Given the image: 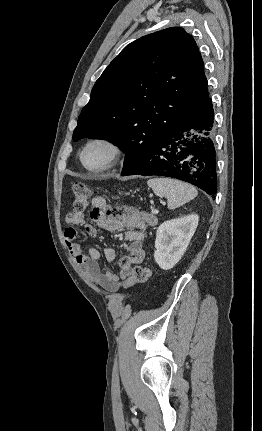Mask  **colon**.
Returning <instances> with one entry per match:
<instances>
[{
    "label": "colon",
    "instance_id": "1",
    "mask_svg": "<svg viewBox=\"0 0 262 431\" xmlns=\"http://www.w3.org/2000/svg\"><path fill=\"white\" fill-rule=\"evenodd\" d=\"M91 200V193L86 184L77 182L72 188V213L70 216L76 224L80 223L84 212L88 209ZM109 212L114 211V207L108 208ZM152 270L147 266H137L132 275L124 281L125 286L133 284H146L150 281Z\"/></svg>",
    "mask_w": 262,
    "mask_h": 431
}]
</instances>
